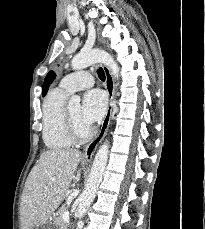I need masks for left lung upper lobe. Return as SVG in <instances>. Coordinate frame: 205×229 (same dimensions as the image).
Returning <instances> with one entry per match:
<instances>
[{
    "instance_id": "5c2ea615",
    "label": "left lung upper lobe",
    "mask_w": 205,
    "mask_h": 229,
    "mask_svg": "<svg viewBox=\"0 0 205 229\" xmlns=\"http://www.w3.org/2000/svg\"><path fill=\"white\" fill-rule=\"evenodd\" d=\"M56 74L53 71H50L44 81L43 84V89H42V95L45 96L48 90V86L49 84L53 81V79L55 78Z\"/></svg>"
}]
</instances>
